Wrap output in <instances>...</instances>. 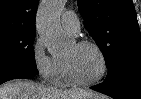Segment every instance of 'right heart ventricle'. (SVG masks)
I'll list each match as a JSON object with an SVG mask.
<instances>
[{"label": "right heart ventricle", "mask_w": 141, "mask_h": 99, "mask_svg": "<svg viewBox=\"0 0 141 99\" xmlns=\"http://www.w3.org/2000/svg\"><path fill=\"white\" fill-rule=\"evenodd\" d=\"M56 61H57V73L53 80V84L59 87H66L73 84L71 79L69 78L65 60L56 59Z\"/></svg>", "instance_id": "1"}]
</instances>
